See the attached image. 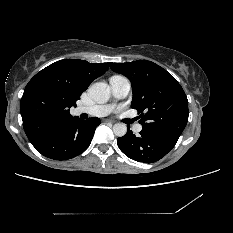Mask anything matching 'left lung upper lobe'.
Instances as JSON below:
<instances>
[{
    "mask_svg": "<svg viewBox=\"0 0 233 233\" xmlns=\"http://www.w3.org/2000/svg\"><path fill=\"white\" fill-rule=\"evenodd\" d=\"M109 65L131 81V105L140 114L143 130L179 138L189 113L186 94L178 81L165 69L147 60Z\"/></svg>",
    "mask_w": 233,
    "mask_h": 233,
    "instance_id": "left-lung-upper-lobe-1",
    "label": "left lung upper lobe"
}]
</instances>
